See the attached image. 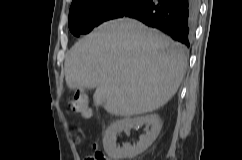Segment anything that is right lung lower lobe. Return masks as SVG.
I'll use <instances>...</instances> for the list:
<instances>
[{
	"instance_id": "1",
	"label": "right lung lower lobe",
	"mask_w": 242,
	"mask_h": 160,
	"mask_svg": "<svg viewBox=\"0 0 242 160\" xmlns=\"http://www.w3.org/2000/svg\"><path fill=\"white\" fill-rule=\"evenodd\" d=\"M198 11L199 0H143L123 17L140 20L189 47Z\"/></svg>"
}]
</instances>
